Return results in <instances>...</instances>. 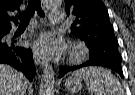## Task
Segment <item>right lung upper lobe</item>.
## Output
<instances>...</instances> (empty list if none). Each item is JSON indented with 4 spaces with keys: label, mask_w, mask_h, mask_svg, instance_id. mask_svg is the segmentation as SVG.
<instances>
[{
    "label": "right lung upper lobe",
    "mask_w": 135,
    "mask_h": 95,
    "mask_svg": "<svg viewBox=\"0 0 135 95\" xmlns=\"http://www.w3.org/2000/svg\"><path fill=\"white\" fill-rule=\"evenodd\" d=\"M23 0H0V30L11 28V21L17 20L11 16L13 11H20L19 6Z\"/></svg>",
    "instance_id": "obj_1"
}]
</instances>
